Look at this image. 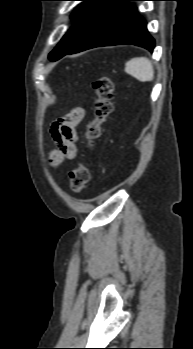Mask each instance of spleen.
Wrapping results in <instances>:
<instances>
[{"mask_svg": "<svg viewBox=\"0 0 193 349\" xmlns=\"http://www.w3.org/2000/svg\"><path fill=\"white\" fill-rule=\"evenodd\" d=\"M125 72L141 82L154 79V69L151 61L146 57H136L129 60L125 65Z\"/></svg>", "mask_w": 193, "mask_h": 349, "instance_id": "3e777b00", "label": "spleen"}]
</instances>
